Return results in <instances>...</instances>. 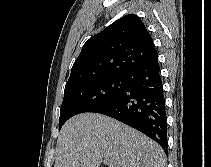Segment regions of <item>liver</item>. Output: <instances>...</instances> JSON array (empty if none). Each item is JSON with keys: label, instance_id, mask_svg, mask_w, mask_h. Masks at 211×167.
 Wrapping results in <instances>:
<instances>
[{"label": "liver", "instance_id": "6515ba94", "mask_svg": "<svg viewBox=\"0 0 211 167\" xmlns=\"http://www.w3.org/2000/svg\"><path fill=\"white\" fill-rule=\"evenodd\" d=\"M164 167L161 146L141 132L105 115L83 113L69 119L56 145L54 167Z\"/></svg>", "mask_w": 211, "mask_h": 167}]
</instances>
